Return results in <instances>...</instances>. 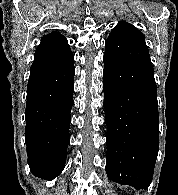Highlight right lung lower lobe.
Here are the masks:
<instances>
[{"label":"right lung lower lobe","instance_id":"right-lung-lower-lobe-1","mask_svg":"<svg viewBox=\"0 0 178 195\" xmlns=\"http://www.w3.org/2000/svg\"><path fill=\"white\" fill-rule=\"evenodd\" d=\"M74 73L73 60L30 71L25 141L30 170L44 179L52 180L65 167Z\"/></svg>","mask_w":178,"mask_h":195}]
</instances>
